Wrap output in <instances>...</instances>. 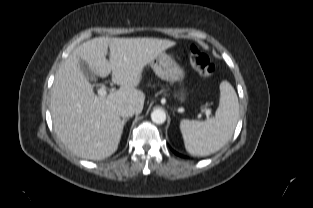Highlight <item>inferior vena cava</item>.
<instances>
[{
	"instance_id": "602c4592",
	"label": "inferior vena cava",
	"mask_w": 313,
	"mask_h": 208,
	"mask_svg": "<svg viewBox=\"0 0 313 208\" xmlns=\"http://www.w3.org/2000/svg\"><path fill=\"white\" fill-rule=\"evenodd\" d=\"M117 113L123 118L131 117L136 113V108L131 104H120L117 107Z\"/></svg>"
}]
</instances>
